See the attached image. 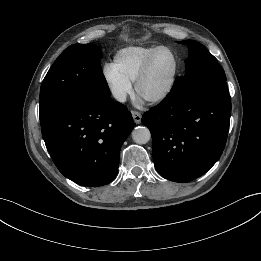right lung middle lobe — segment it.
I'll return each mask as SVG.
<instances>
[{
	"label": "right lung middle lobe",
	"instance_id": "dd1d6c3e",
	"mask_svg": "<svg viewBox=\"0 0 261 261\" xmlns=\"http://www.w3.org/2000/svg\"><path fill=\"white\" fill-rule=\"evenodd\" d=\"M101 58L102 52L91 43L73 44L62 52L41 85L40 123L80 101L110 99Z\"/></svg>",
	"mask_w": 261,
	"mask_h": 261
}]
</instances>
